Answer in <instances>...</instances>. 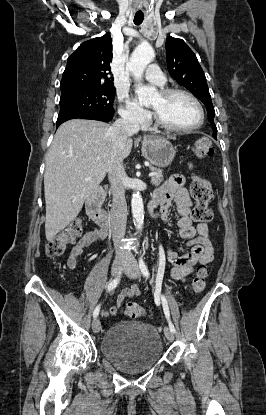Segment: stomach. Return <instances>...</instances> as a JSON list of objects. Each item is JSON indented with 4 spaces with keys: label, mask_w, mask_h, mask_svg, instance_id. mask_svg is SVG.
<instances>
[{
    "label": "stomach",
    "mask_w": 266,
    "mask_h": 415,
    "mask_svg": "<svg viewBox=\"0 0 266 415\" xmlns=\"http://www.w3.org/2000/svg\"><path fill=\"white\" fill-rule=\"evenodd\" d=\"M173 145L165 139L149 138L142 143V155L157 167H167L175 157Z\"/></svg>",
    "instance_id": "1"
}]
</instances>
